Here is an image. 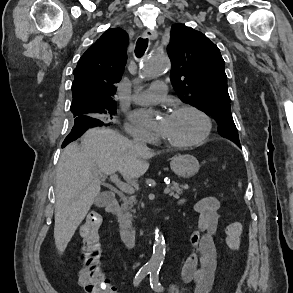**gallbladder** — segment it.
<instances>
[{
  "label": "gallbladder",
  "mask_w": 293,
  "mask_h": 293,
  "mask_svg": "<svg viewBox=\"0 0 293 293\" xmlns=\"http://www.w3.org/2000/svg\"><path fill=\"white\" fill-rule=\"evenodd\" d=\"M107 194L106 193H101L99 194L94 201L95 206L97 207H103L107 204Z\"/></svg>",
  "instance_id": "gallbladder-1"
}]
</instances>
